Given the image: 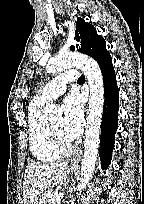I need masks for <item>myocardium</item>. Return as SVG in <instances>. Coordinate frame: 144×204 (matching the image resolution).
I'll return each mask as SVG.
<instances>
[{
	"instance_id": "obj_1",
	"label": "myocardium",
	"mask_w": 144,
	"mask_h": 204,
	"mask_svg": "<svg viewBox=\"0 0 144 204\" xmlns=\"http://www.w3.org/2000/svg\"><path fill=\"white\" fill-rule=\"evenodd\" d=\"M49 129L53 141L61 153H70L73 151L74 145L72 142L65 139L52 125H49Z\"/></svg>"
}]
</instances>
